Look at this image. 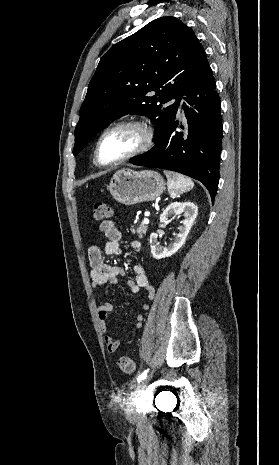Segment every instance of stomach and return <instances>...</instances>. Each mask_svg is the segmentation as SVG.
Returning <instances> with one entry per match:
<instances>
[{"label":"stomach","mask_w":279,"mask_h":465,"mask_svg":"<svg viewBox=\"0 0 279 465\" xmlns=\"http://www.w3.org/2000/svg\"><path fill=\"white\" fill-rule=\"evenodd\" d=\"M108 189L119 203L134 205L158 198L165 189V181L152 170L121 169L111 178Z\"/></svg>","instance_id":"1"}]
</instances>
